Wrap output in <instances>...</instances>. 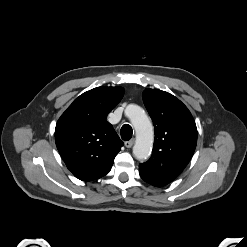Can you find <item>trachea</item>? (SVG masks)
<instances>
[{
	"label": "trachea",
	"instance_id": "trachea-1",
	"mask_svg": "<svg viewBox=\"0 0 247 247\" xmlns=\"http://www.w3.org/2000/svg\"><path fill=\"white\" fill-rule=\"evenodd\" d=\"M120 133H121V138H122L124 141H128V140L131 139L132 134H133L132 127H131L130 125H128V124H124V125L121 127Z\"/></svg>",
	"mask_w": 247,
	"mask_h": 247
}]
</instances>
